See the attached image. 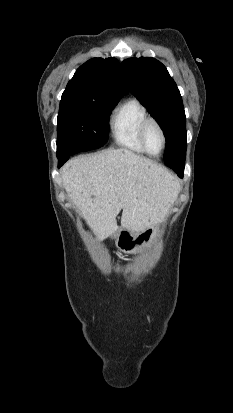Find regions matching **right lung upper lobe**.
<instances>
[{
    "instance_id": "right-lung-upper-lobe-1",
    "label": "right lung upper lobe",
    "mask_w": 233,
    "mask_h": 413,
    "mask_svg": "<svg viewBox=\"0 0 233 413\" xmlns=\"http://www.w3.org/2000/svg\"><path fill=\"white\" fill-rule=\"evenodd\" d=\"M127 91L124 74L116 58H93L77 69L63 95L120 99Z\"/></svg>"
}]
</instances>
